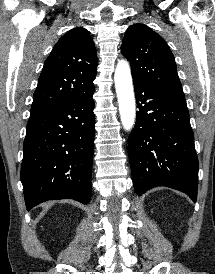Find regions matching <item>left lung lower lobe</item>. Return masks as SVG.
Here are the masks:
<instances>
[{
    "instance_id": "1",
    "label": "left lung lower lobe",
    "mask_w": 215,
    "mask_h": 274,
    "mask_svg": "<svg viewBox=\"0 0 215 274\" xmlns=\"http://www.w3.org/2000/svg\"><path fill=\"white\" fill-rule=\"evenodd\" d=\"M133 82L139 110L128 154L136 194L167 186L196 202L199 164L186 101Z\"/></svg>"
}]
</instances>
